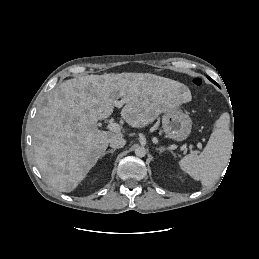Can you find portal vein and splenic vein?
I'll use <instances>...</instances> for the list:
<instances>
[{"mask_svg": "<svg viewBox=\"0 0 259 259\" xmlns=\"http://www.w3.org/2000/svg\"><path fill=\"white\" fill-rule=\"evenodd\" d=\"M125 103H126V99L124 98V99H121L120 101H115L114 105L118 108H121ZM108 129L115 133L121 132V126L115 122H111L110 124H108ZM198 147L201 148V145H199Z\"/></svg>", "mask_w": 259, "mask_h": 259, "instance_id": "18ae733b", "label": "portal vein and splenic vein"}]
</instances>
